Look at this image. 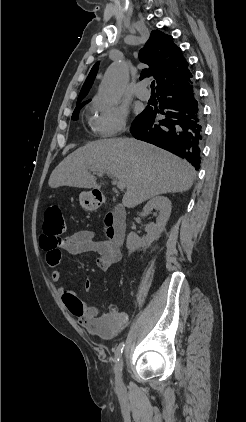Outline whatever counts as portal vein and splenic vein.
<instances>
[{"instance_id":"obj_1","label":"portal vein and splenic vein","mask_w":246,"mask_h":422,"mask_svg":"<svg viewBox=\"0 0 246 422\" xmlns=\"http://www.w3.org/2000/svg\"><path fill=\"white\" fill-rule=\"evenodd\" d=\"M94 173L98 172V175L102 176L105 172L104 171H96V170H92ZM111 178L113 179V184H115L117 186L118 189L123 190L125 189V184L123 182H121L120 180H118L117 178L111 176Z\"/></svg>"}]
</instances>
